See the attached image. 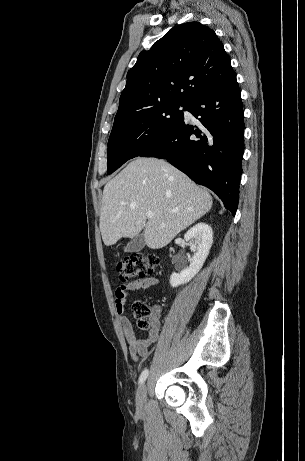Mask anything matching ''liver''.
<instances>
[{
    "instance_id": "1",
    "label": "liver",
    "mask_w": 305,
    "mask_h": 461,
    "mask_svg": "<svg viewBox=\"0 0 305 461\" xmlns=\"http://www.w3.org/2000/svg\"><path fill=\"white\" fill-rule=\"evenodd\" d=\"M212 197L163 160L136 158L104 187L100 231L106 246L144 230L151 249L169 244L212 207ZM154 217L148 222L146 212Z\"/></svg>"
}]
</instances>
